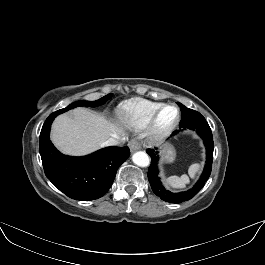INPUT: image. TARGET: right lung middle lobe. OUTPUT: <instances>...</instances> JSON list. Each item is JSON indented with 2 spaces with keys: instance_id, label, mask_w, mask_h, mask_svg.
I'll return each mask as SVG.
<instances>
[{
  "instance_id": "dd1d6c3e",
  "label": "right lung middle lobe",
  "mask_w": 265,
  "mask_h": 265,
  "mask_svg": "<svg viewBox=\"0 0 265 265\" xmlns=\"http://www.w3.org/2000/svg\"><path fill=\"white\" fill-rule=\"evenodd\" d=\"M112 97V94H108L96 101H82V100H79V101H76V102H73L72 104L68 105L66 108L64 109H60L58 110L57 112L59 113H63L65 111H68L70 109H73L75 107H81V106H86V107H97L99 105H102L103 103H105L108 99H110Z\"/></svg>"
}]
</instances>
